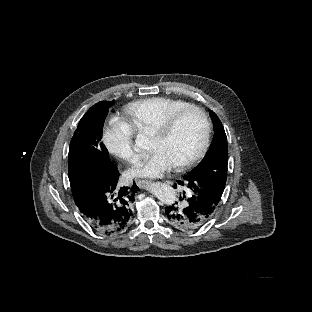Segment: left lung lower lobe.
Here are the masks:
<instances>
[{
    "label": "left lung lower lobe",
    "instance_id": "obj_1",
    "mask_svg": "<svg viewBox=\"0 0 312 312\" xmlns=\"http://www.w3.org/2000/svg\"><path fill=\"white\" fill-rule=\"evenodd\" d=\"M226 178L227 171L212 170L179 181L178 184L188 188L190 195L184 206L166 207L168 220L183 229H193L207 223L219 207Z\"/></svg>",
    "mask_w": 312,
    "mask_h": 312
}]
</instances>
